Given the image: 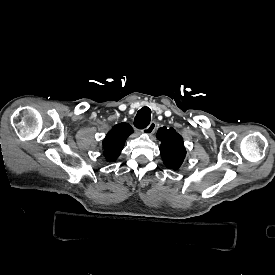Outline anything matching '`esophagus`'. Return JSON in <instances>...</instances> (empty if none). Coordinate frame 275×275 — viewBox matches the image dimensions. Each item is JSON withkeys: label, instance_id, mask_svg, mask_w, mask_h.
<instances>
[{"label": "esophagus", "instance_id": "34e87169", "mask_svg": "<svg viewBox=\"0 0 275 275\" xmlns=\"http://www.w3.org/2000/svg\"><path fill=\"white\" fill-rule=\"evenodd\" d=\"M156 127H157V124L156 122L153 121L144 129V133L152 134L155 131Z\"/></svg>", "mask_w": 275, "mask_h": 275}]
</instances>
